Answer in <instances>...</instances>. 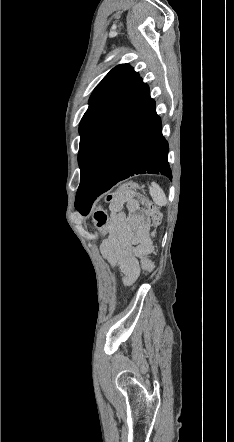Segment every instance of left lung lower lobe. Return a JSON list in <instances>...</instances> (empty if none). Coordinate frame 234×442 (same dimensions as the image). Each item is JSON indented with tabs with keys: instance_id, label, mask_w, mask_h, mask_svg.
<instances>
[{
	"instance_id": "left-lung-lower-lobe-1",
	"label": "left lung lower lobe",
	"mask_w": 234,
	"mask_h": 442,
	"mask_svg": "<svg viewBox=\"0 0 234 442\" xmlns=\"http://www.w3.org/2000/svg\"><path fill=\"white\" fill-rule=\"evenodd\" d=\"M168 151L155 101L139 77L84 146L76 209L86 215L100 194L134 174L172 179Z\"/></svg>"
}]
</instances>
